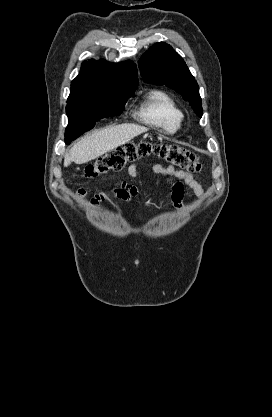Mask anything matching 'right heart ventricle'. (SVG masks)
I'll return each instance as SVG.
<instances>
[{
  "label": "right heart ventricle",
  "instance_id": "1",
  "mask_svg": "<svg viewBox=\"0 0 272 417\" xmlns=\"http://www.w3.org/2000/svg\"><path fill=\"white\" fill-rule=\"evenodd\" d=\"M137 117L147 125L173 134L180 129L184 114L170 94L162 90H154L147 94L137 112Z\"/></svg>",
  "mask_w": 272,
  "mask_h": 417
}]
</instances>
